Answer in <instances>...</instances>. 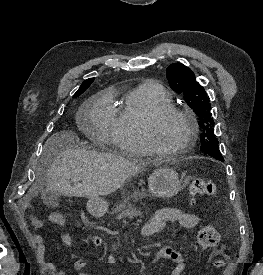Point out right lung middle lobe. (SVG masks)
I'll list each match as a JSON object with an SVG mask.
<instances>
[{
	"label": "right lung middle lobe",
	"mask_w": 263,
	"mask_h": 275,
	"mask_svg": "<svg viewBox=\"0 0 263 275\" xmlns=\"http://www.w3.org/2000/svg\"><path fill=\"white\" fill-rule=\"evenodd\" d=\"M87 89V87L83 90H81L79 93L75 94L73 97H78L79 95H81L85 90Z\"/></svg>",
	"instance_id": "obj_1"
}]
</instances>
